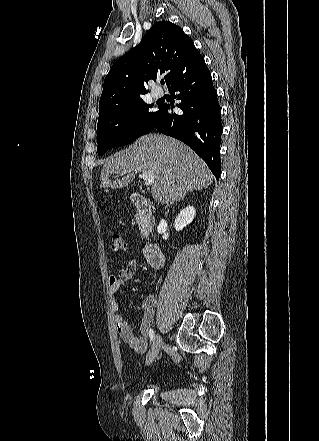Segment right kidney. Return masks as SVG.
Returning <instances> with one entry per match:
<instances>
[{
	"instance_id": "right-kidney-1",
	"label": "right kidney",
	"mask_w": 319,
	"mask_h": 441,
	"mask_svg": "<svg viewBox=\"0 0 319 441\" xmlns=\"http://www.w3.org/2000/svg\"><path fill=\"white\" fill-rule=\"evenodd\" d=\"M196 215L195 209L193 206H187L183 209L180 214L175 219L174 228L176 231L182 230L188 224H190Z\"/></svg>"
}]
</instances>
